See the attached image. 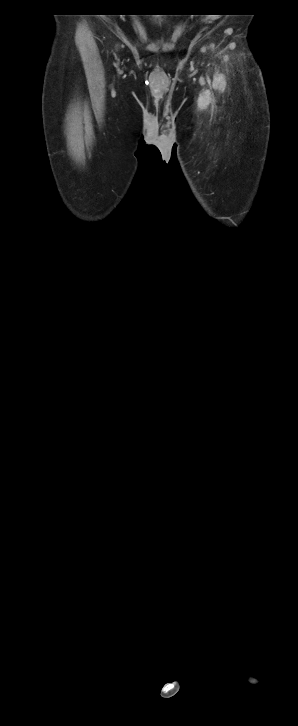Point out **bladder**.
<instances>
[{
  "label": "bladder",
  "mask_w": 298,
  "mask_h": 726,
  "mask_svg": "<svg viewBox=\"0 0 298 726\" xmlns=\"http://www.w3.org/2000/svg\"><path fill=\"white\" fill-rule=\"evenodd\" d=\"M157 23H161V21H157Z\"/></svg>",
  "instance_id": "obj_1"
}]
</instances>
